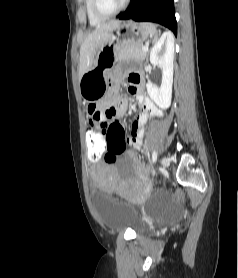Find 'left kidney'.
I'll use <instances>...</instances> for the list:
<instances>
[{"mask_svg": "<svg viewBox=\"0 0 238 278\" xmlns=\"http://www.w3.org/2000/svg\"><path fill=\"white\" fill-rule=\"evenodd\" d=\"M174 38L165 32L155 43L150 52V62L162 70L160 87L148 82L146 85L150 98L161 109L169 108L172 98L173 84Z\"/></svg>", "mask_w": 238, "mask_h": 278, "instance_id": "obj_1", "label": "left kidney"}]
</instances>
